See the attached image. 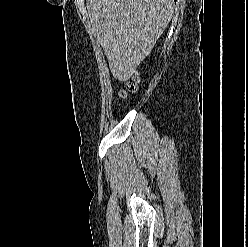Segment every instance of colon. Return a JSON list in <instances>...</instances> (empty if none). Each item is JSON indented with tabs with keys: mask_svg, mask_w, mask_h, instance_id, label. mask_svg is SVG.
I'll list each match as a JSON object with an SVG mask.
<instances>
[{
	"mask_svg": "<svg viewBox=\"0 0 248 247\" xmlns=\"http://www.w3.org/2000/svg\"><path fill=\"white\" fill-rule=\"evenodd\" d=\"M138 80L136 77L126 83L124 90L119 93L120 98H124L128 93L135 92L137 89Z\"/></svg>",
	"mask_w": 248,
	"mask_h": 247,
	"instance_id": "obj_1",
	"label": "colon"
}]
</instances>
